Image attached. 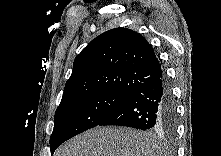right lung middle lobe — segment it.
<instances>
[{"label": "right lung middle lobe", "instance_id": "dd1d6c3e", "mask_svg": "<svg viewBox=\"0 0 221 156\" xmlns=\"http://www.w3.org/2000/svg\"><path fill=\"white\" fill-rule=\"evenodd\" d=\"M130 96L95 93L60 103L50 137L51 153L71 137L99 125Z\"/></svg>", "mask_w": 221, "mask_h": 156}]
</instances>
